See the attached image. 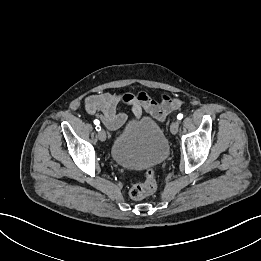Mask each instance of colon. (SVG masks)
Wrapping results in <instances>:
<instances>
[{
  "mask_svg": "<svg viewBox=\"0 0 261 261\" xmlns=\"http://www.w3.org/2000/svg\"><path fill=\"white\" fill-rule=\"evenodd\" d=\"M157 188L155 172L148 169L144 175V181L133 185L129 191V195L133 200H140L152 194Z\"/></svg>",
  "mask_w": 261,
  "mask_h": 261,
  "instance_id": "1",
  "label": "colon"
}]
</instances>
